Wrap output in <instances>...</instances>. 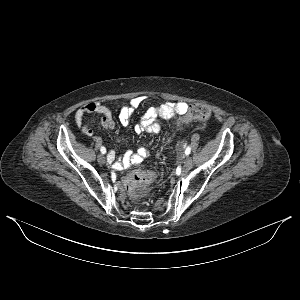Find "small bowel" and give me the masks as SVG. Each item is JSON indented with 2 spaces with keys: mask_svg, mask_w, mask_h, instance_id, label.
I'll use <instances>...</instances> for the list:
<instances>
[{
  "mask_svg": "<svg viewBox=\"0 0 300 300\" xmlns=\"http://www.w3.org/2000/svg\"><path fill=\"white\" fill-rule=\"evenodd\" d=\"M145 98L137 96L127 102L120 104L118 110V121L122 126L130 124L134 111L144 102ZM188 109V104L182 101L167 102L156 107L149 108L142 116L141 120L134 125V132L137 134L151 133L157 134L161 130L160 119L171 120L178 115L184 114ZM98 114L101 116V123L105 128L113 129L116 125L112 111L99 102H90L77 109L75 113L76 125L85 133L86 136L92 137V129L84 122L86 114ZM101 142L100 138H97ZM149 156V150L140 147L137 151H126L122 156L116 158L115 152L111 151L108 155L107 162L115 171H121L131 164L141 163Z\"/></svg>",
  "mask_w": 300,
  "mask_h": 300,
  "instance_id": "obj_1",
  "label": "small bowel"
}]
</instances>
